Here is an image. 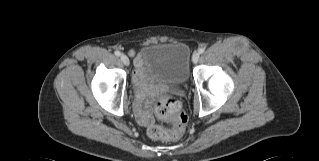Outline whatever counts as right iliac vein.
Here are the masks:
<instances>
[{
  "mask_svg": "<svg viewBox=\"0 0 319 161\" xmlns=\"http://www.w3.org/2000/svg\"><path fill=\"white\" fill-rule=\"evenodd\" d=\"M120 60L125 66H128L130 64L129 58L124 54L120 56Z\"/></svg>",
  "mask_w": 319,
  "mask_h": 161,
  "instance_id": "1",
  "label": "right iliac vein"
}]
</instances>
